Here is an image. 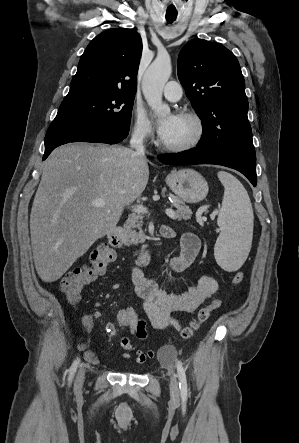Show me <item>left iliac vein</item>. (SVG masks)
I'll return each mask as SVG.
<instances>
[{
  "instance_id": "left-iliac-vein-1",
  "label": "left iliac vein",
  "mask_w": 299,
  "mask_h": 443,
  "mask_svg": "<svg viewBox=\"0 0 299 443\" xmlns=\"http://www.w3.org/2000/svg\"><path fill=\"white\" fill-rule=\"evenodd\" d=\"M170 371V391L173 396V398L177 399L179 397V385L178 380L176 378V375L174 373V370L172 368L169 369Z\"/></svg>"
}]
</instances>
